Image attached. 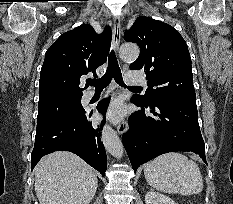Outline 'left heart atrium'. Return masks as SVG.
I'll return each instance as SVG.
<instances>
[{"instance_id": "obj_1", "label": "left heart atrium", "mask_w": 233, "mask_h": 204, "mask_svg": "<svg viewBox=\"0 0 233 204\" xmlns=\"http://www.w3.org/2000/svg\"><path fill=\"white\" fill-rule=\"evenodd\" d=\"M122 114V106L119 103L113 104L108 111L109 118L114 121L119 120L122 117Z\"/></svg>"}]
</instances>
